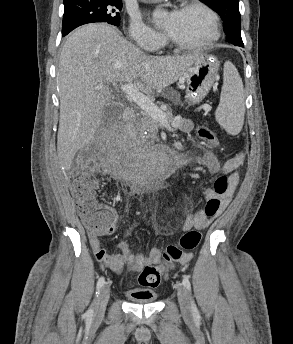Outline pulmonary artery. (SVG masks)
<instances>
[{"mask_svg":"<svg viewBox=\"0 0 293 344\" xmlns=\"http://www.w3.org/2000/svg\"><path fill=\"white\" fill-rule=\"evenodd\" d=\"M143 2H157V1H161V0H141Z\"/></svg>","mask_w":293,"mask_h":344,"instance_id":"1","label":"pulmonary artery"}]
</instances>
